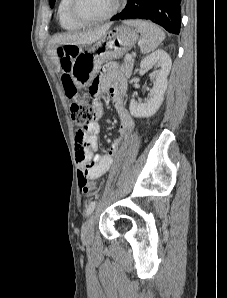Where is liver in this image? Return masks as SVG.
Returning <instances> with one entry per match:
<instances>
[{
	"label": "liver",
	"mask_w": 227,
	"mask_h": 298,
	"mask_svg": "<svg viewBox=\"0 0 227 298\" xmlns=\"http://www.w3.org/2000/svg\"><path fill=\"white\" fill-rule=\"evenodd\" d=\"M111 24L101 26L97 29L78 32V33H65L55 36L51 39L50 45L52 46V55L54 63L58 70L60 67L59 57L56 53V48L62 45H90L101 39L110 28Z\"/></svg>",
	"instance_id": "6515ba94"
}]
</instances>
